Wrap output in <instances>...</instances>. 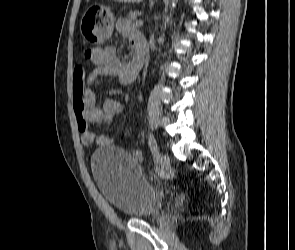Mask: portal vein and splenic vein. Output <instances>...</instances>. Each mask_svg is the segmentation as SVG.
<instances>
[{"label":"portal vein and splenic vein","mask_w":295,"mask_h":250,"mask_svg":"<svg viewBox=\"0 0 295 250\" xmlns=\"http://www.w3.org/2000/svg\"><path fill=\"white\" fill-rule=\"evenodd\" d=\"M136 24H137L138 26H143L144 21H143V20H139V21L136 22Z\"/></svg>","instance_id":"1"}]
</instances>
